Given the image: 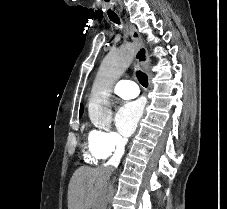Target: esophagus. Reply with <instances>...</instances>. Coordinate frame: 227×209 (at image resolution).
Segmentation results:
<instances>
[{
	"mask_svg": "<svg viewBox=\"0 0 227 209\" xmlns=\"http://www.w3.org/2000/svg\"><path fill=\"white\" fill-rule=\"evenodd\" d=\"M130 29V35L134 43L138 45L136 51H135V59L139 63V65L142 67V69L149 75L150 78V72L146 68L148 64H150V58L148 56V52L146 48L141 43V36L137 32L136 28L132 25L129 27Z\"/></svg>",
	"mask_w": 227,
	"mask_h": 209,
	"instance_id": "esophagus-1",
	"label": "esophagus"
}]
</instances>
